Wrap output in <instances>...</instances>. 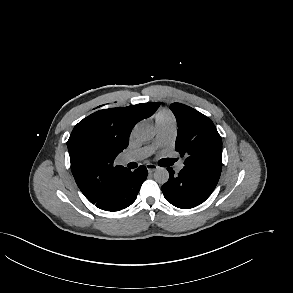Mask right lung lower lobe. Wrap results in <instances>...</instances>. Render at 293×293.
I'll use <instances>...</instances> for the list:
<instances>
[{"label":"right lung lower lobe","mask_w":293,"mask_h":293,"mask_svg":"<svg viewBox=\"0 0 293 293\" xmlns=\"http://www.w3.org/2000/svg\"><path fill=\"white\" fill-rule=\"evenodd\" d=\"M147 175L145 166H140L134 172L129 170L117 177L111 184L108 194L94 204L102 210L111 212L130 206L136 200Z\"/></svg>","instance_id":"98d812e1"}]
</instances>
